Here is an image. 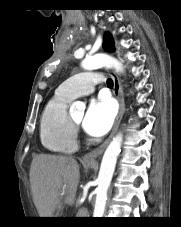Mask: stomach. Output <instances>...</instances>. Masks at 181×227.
I'll list each match as a JSON object with an SVG mask.
<instances>
[{
  "label": "stomach",
  "instance_id": "obj_1",
  "mask_svg": "<svg viewBox=\"0 0 181 227\" xmlns=\"http://www.w3.org/2000/svg\"><path fill=\"white\" fill-rule=\"evenodd\" d=\"M87 167H91V164H87Z\"/></svg>",
  "mask_w": 181,
  "mask_h": 227
}]
</instances>
